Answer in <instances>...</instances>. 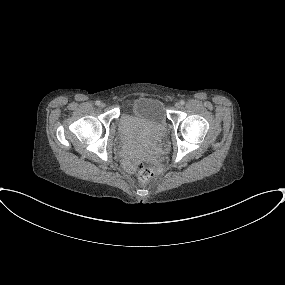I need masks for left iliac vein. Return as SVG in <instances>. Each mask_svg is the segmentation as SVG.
Listing matches in <instances>:
<instances>
[{"label": "left iliac vein", "instance_id": "left-iliac-vein-1", "mask_svg": "<svg viewBox=\"0 0 285 285\" xmlns=\"http://www.w3.org/2000/svg\"><path fill=\"white\" fill-rule=\"evenodd\" d=\"M174 106H175V108H177V109H178V108H180V107H181V104H180L179 102H177V103H175V105H174Z\"/></svg>", "mask_w": 285, "mask_h": 285}]
</instances>
